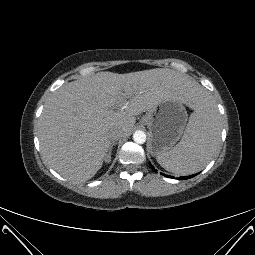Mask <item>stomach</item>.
I'll list each match as a JSON object with an SVG mask.
<instances>
[{
  "instance_id": "0dacf381",
  "label": "stomach",
  "mask_w": 255,
  "mask_h": 255,
  "mask_svg": "<svg viewBox=\"0 0 255 255\" xmlns=\"http://www.w3.org/2000/svg\"><path fill=\"white\" fill-rule=\"evenodd\" d=\"M185 103L177 95H169L151 108L153 117L147 126L150 131L149 151L158 156L173 148L180 139L187 121Z\"/></svg>"
}]
</instances>
